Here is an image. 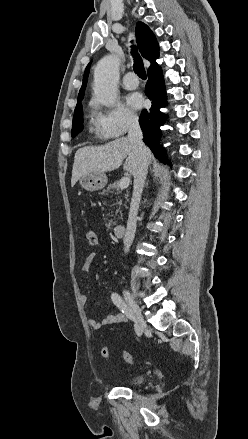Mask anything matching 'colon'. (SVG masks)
<instances>
[{"mask_svg": "<svg viewBox=\"0 0 248 439\" xmlns=\"http://www.w3.org/2000/svg\"><path fill=\"white\" fill-rule=\"evenodd\" d=\"M86 240H87V243L90 246H92V247H95V246L99 245V243H100V237H99L98 233L95 232V231H92V230L91 231H87V233H86ZM101 355H102L103 358H106V359L109 358L110 352H109L108 347L104 346L101 349ZM121 356H122V359L125 362H127V363H133L134 362L133 355L131 353L127 352V351H123Z\"/></svg>", "mask_w": 248, "mask_h": 439, "instance_id": "colon-1", "label": "colon"}]
</instances>
